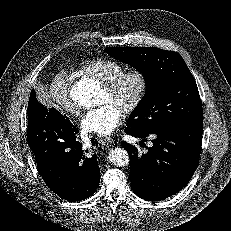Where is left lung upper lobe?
<instances>
[{
	"label": "left lung upper lobe",
	"mask_w": 231,
	"mask_h": 231,
	"mask_svg": "<svg viewBox=\"0 0 231 231\" xmlns=\"http://www.w3.org/2000/svg\"><path fill=\"white\" fill-rule=\"evenodd\" d=\"M105 51L135 67L146 80V94L129 116L127 129L151 132L203 122L197 84L180 54L155 47H109Z\"/></svg>",
	"instance_id": "5c2ea615"
}]
</instances>
